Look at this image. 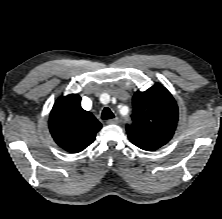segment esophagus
I'll return each mask as SVG.
<instances>
[{"mask_svg": "<svg viewBox=\"0 0 222 219\" xmlns=\"http://www.w3.org/2000/svg\"><path fill=\"white\" fill-rule=\"evenodd\" d=\"M118 123H119L118 118L110 119L107 121V124H118Z\"/></svg>", "mask_w": 222, "mask_h": 219, "instance_id": "esophagus-1", "label": "esophagus"}]
</instances>
